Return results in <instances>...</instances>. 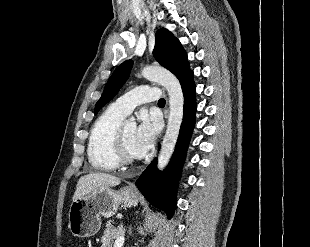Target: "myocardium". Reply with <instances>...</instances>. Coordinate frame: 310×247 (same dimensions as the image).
Wrapping results in <instances>:
<instances>
[{
  "mask_svg": "<svg viewBox=\"0 0 310 247\" xmlns=\"http://www.w3.org/2000/svg\"><path fill=\"white\" fill-rule=\"evenodd\" d=\"M116 154L120 164L123 165H131L136 162L137 158L132 156L126 147L125 139H124V125L118 129L117 138H116Z\"/></svg>",
  "mask_w": 310,
  "mask_h": 247,
  "instance_id": "1",
  "label": "myocardium"
}]
</instances>
